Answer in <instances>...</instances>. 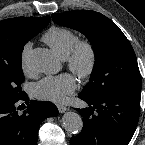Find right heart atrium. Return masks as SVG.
Wrapping results in <instances>:
<instances>
[{
	"label": "right heart atrium",
	"instance_id": "1",
	"mask_svg": "<svg viewBox=\"0 0 145 145\" xmlns=\"http://www.w3.org/2000/svg\"><path fill=\"white\" fill-rule=\"evenodd\" d=\"M31 47H32L31 42L25 43L20 53L21 69L23 73L28 76L32 75V71L29 67V55H30Z\"/></svg>",
	"mask_w": 145,
	"mask_h": 145
}]
</instances>
